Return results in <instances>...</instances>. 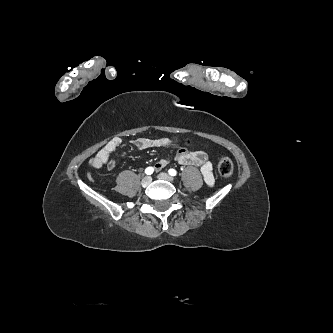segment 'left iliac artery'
Masks as SVG:
<instances>
[{
	"instance_id": "left-iliac-artery-1",
	"label": "left iliac artery",
	"mask_w": 333,
	"mask_h": 333,
	"mask_svg": "<svg viewBox=\"0 0 333 333\" xmlns=\"http://www.w3.org/2000/svg\"><path fill=\"white\" fill-rule=\"evenodd\" d=\"M168 173L171 175V176H176L177 175V171L175 169H169Z\"/></svg>"
}]
</instances>
